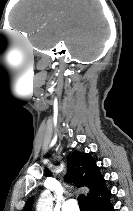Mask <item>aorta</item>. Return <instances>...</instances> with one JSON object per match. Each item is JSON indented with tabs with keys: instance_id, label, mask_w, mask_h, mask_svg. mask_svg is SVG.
<instances>
[{
	"instance_id": "aorta-1",
	"label": "aorta",
	"mask_w": 133,
	"mask_h": 211,
	"mask_svg": "<svg viewBox=\"0 0 133 211\" xmlns=\"http://www.w3.org/2000/svg\"><path fill=\"white\" fill-rule=\"evenodd\" d=\"M36 211H52V196L49 191H44L40 195Z\"/></svg>"
}]
</instances>
